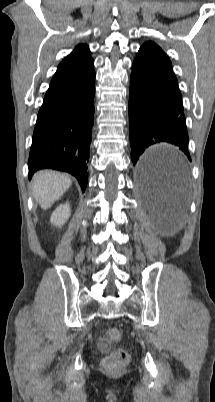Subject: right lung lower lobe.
Here are the masks:
<instances>
[{
  "label": "right lung lower lobe",
  "instance_id": "right-lung-lower-lobe-1",
  "mask_svg": "<svg viewBox=\"0 0 215 402\" xmlns=\"http://www.w3.org/2000/svg\"><path fill=\"white\" fill-rule=\"evenodd\" d=\"M94 80L95 73L76 88L44 99L32 138L29 177L43 168L69 172L85 191L94 124Z\"/></svg>",
  "mask_w": 215,
  "mask_h": 402
}]
</instances>
